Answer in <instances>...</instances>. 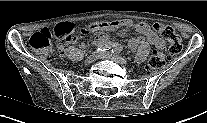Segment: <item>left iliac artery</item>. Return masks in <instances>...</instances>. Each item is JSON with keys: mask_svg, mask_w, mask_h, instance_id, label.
<instances>
[{"mask_svg": "<svg viewBox=\"0 0 207 123\" xmlns=\"http://www.w3.org/2000/svg\"><path fill=\"white\" fill-rule=\"evenodd\" d=\"M123 50V47L120 44H114L111 51L112 53L119 54Z\"/></svg>", "mask_w": 207, "mask_h": 123, "instance_id": "left-iliac-artery-1", "label": "left iliac artery"}]
</instances>
